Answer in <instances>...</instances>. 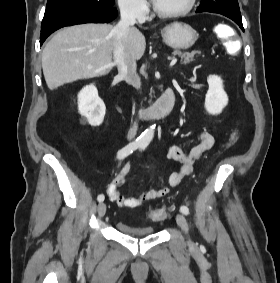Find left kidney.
I'll use <instances>...</instances> for the list:
<instances>
[{"label": "left kidney", "mask_w": 280, "mask_h": 283, "mask_svg": "<svg viewBox=\"0 0 280 283\" xmlns=\"http://www.w3.org/2000/svg\"><path fill=\"white\" fill-rule=\"evenodd\" d=\"M209 89L205 98V109L211 115H218L228 104V96L224 91L223 80L216 75L207 78Z\"/></svg>", "instance_id": "obj_1"}]
</instances>
